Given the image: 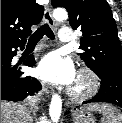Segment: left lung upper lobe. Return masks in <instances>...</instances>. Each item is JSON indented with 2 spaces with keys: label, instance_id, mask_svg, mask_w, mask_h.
I'll return each mask as SVG.
<instances>
[{
  "label": "left lung upper lobe",
  "instance_id": "5c2ea615",
  "mask_svg": "<svg viewBox=\"0 0 122 123\" xmlns=\"http://www.w3.org/2000/svg\"><path fill=\"white\" fill-rule=\"evenodd\" d=\"M51 4L67 9L71 27L81 28L79 55L91 70H122L121 43L106 0H51Z\"/></svg>",
  "mask_w": 122,
  "mask_h": 123
}]
</instances>
